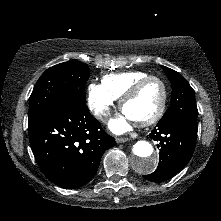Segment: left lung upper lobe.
Wrapping results in <instances>:
<instances>
[{"label": "left lung upper lobe", "mask_w": 221, "mask_h": 221, "mask_svg": "<svg viewBox=\"0 0 221 221\" xmlns=\"http://www.w3.org/2000/svg\"><path fill=\"white\" fill-rule=\"evenodd\" d=\"M161 67L171 82L172 96L170 107L160 119V122L180 121L197 131L198 110L194 90L181 74L168 67Z\"/></svg>", "instance_id": "left-lung-upper-lobe-1"}]
</instances>
